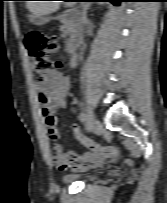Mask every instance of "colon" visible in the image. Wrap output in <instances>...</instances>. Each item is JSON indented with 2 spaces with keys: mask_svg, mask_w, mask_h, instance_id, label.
I'll return each instance as SVG.
<instances>
[{
  "mask_svg": "<svg viewBox=\"0 0 167 203\" xmlns=\"http://www.w3.org/2000/svg\"><path fill=\"white\" fill-rule=\"evenodd\" d=\"M25 49L30 57L34 71L44 73L53 67H62L61 59H52L51 55L60 50L58 40L54 37H45L38 32H31L25 38ZM42 101L46 103L49 99L43 87L39 88Z\"/></svg>",
  "mask_w": 167,
  "mask_h": 203,
  "instance_id": "1",
  "label": "colon"
}]
</instances>
